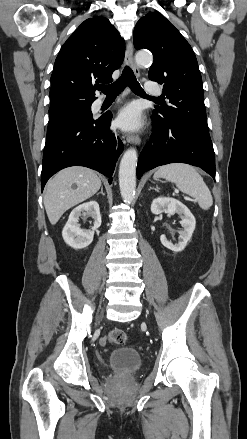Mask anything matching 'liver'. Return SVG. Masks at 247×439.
I'll use <instances>...</instances> for the list:
<instances>
[{
  "mask_svg": "<svg viewBox=\"0 0 247 439\" xmlns=\"http://www.w3.org/2000/svg\"><path fill=\"white\" fill-rule=\"evenodd\" d=\"M100 187L101 180L92 169L73 166L59 171L47 183L44 193L50 223L55 225L68 209L92 197Z\"/></svg>",
  "mask_w": 247,
  "mask_h": 439,
  "instance_id": "liver-1",
  "label": "liver"
}]
</instances>
